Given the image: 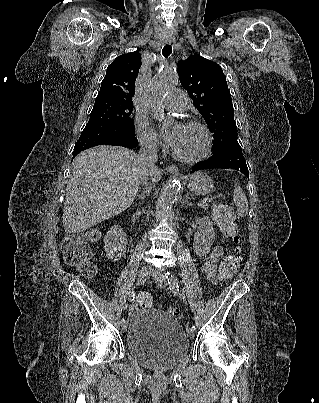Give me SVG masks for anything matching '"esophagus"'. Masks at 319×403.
I'll return each mask as SVG.
<instances>
[{
  "label": "esophagus",
  "mask_w": 319,
  "mask_h": 403,
  "mask_svg": "<svg viewBox=\"0 0 319 403\" xmlns=\"http://www.w3.org/2000/svg\"><path fill=\"white\" fill-rule=\"evenodd\" d=\"M170 43V42H168ZM166 171L172 174H178V168L175 165H168Z\"/></svg>",
  "instance_id": "1"
}]
</instances>
